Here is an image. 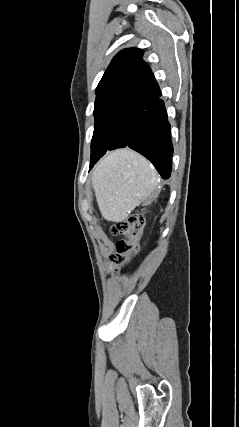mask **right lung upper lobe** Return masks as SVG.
<instances>
[{
  "mask_svg": "<svg viewBox=\"0 0 239 427\" xmlns=\"http://www.w3.org/2000/svg\"><path fill=\"white\" fill-rule=\"evenodd\" d=\"M138 48L124 49L111 61L96 88L95 102L105 99L154 98L161 94L155 77Z\"/></svg>",
  "mask_w": 239,
  "mask_h": 427,
  "instance_id": "right-lung-upper-lobe-1",
  "label": "right lung upper lobe"
}]
</instances>
